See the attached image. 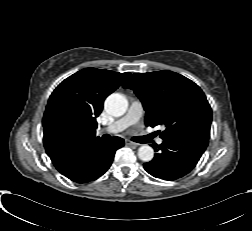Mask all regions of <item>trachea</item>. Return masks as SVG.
Masks as SVG:
<instances>
[{
    "label": "trachea",
    "instance_id": "1",
    "mask_svg": "<svg viewBox=\"0 0 252 231\" xmlns=\"http://www.w3.org/2000/svg\"><path fill=\"white\" fill-rule=\"evenodd\" d=\"M103 138H104V140H109V138H110V136L109 135H104L103 136ZM132 141H134V142H140L139 140H138V138H132Z\"/></svg>",
    "mask_w": 252,
    "mask_h": 231
}]
</instances>
